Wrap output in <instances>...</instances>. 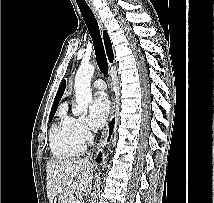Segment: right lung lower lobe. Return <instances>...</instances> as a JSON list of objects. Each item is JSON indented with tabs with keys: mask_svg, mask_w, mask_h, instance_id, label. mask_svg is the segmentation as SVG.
Returning <instances> with one entry per match:
<instances>
[{
	"mask_svg": "<svg viewBox=\"0 0 214 203\" xmlns=\"http://www.w3.org/2000/svg\"><path fill=\"white\" fill-rule=\"evenodd\" d=\"M111 127H110V133H109V138H108V140L110 139V137H111V133H112V130H113V125H114V120H112V122H111ZM101 155L102 154H99V156H98V158H97V162H100V160H101Z\"/></svg>",
	"mask_w": 214,
	"mask_h": 203,
	"instance_id": "right-lung-lower-lobe-1",
	"label": "right lung lower lobe"
}]
</instances>
